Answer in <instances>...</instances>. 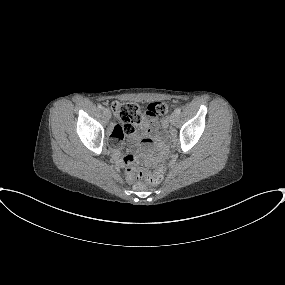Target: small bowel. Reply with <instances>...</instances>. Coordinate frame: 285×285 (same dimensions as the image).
Masks as SVG:
<instances>
[{"label": "small bowel", "instance_id": "1", "mask_svg": "<svg viewBox=\"0 0 285 285\" xmlns=\"http://www.w3.org/2000/svg\"><path fill=\"white\" fill-rule=\"evenodd\" d=\"M154 126L155 119L148 118L144 123L139 125L130 135L134 141V153L132 154L133 157L138 155V151L140 149V141L146 138L153 131ZM123 137V131L120 130L118 126H115L111 133L110 146L112 148L113 159L120 165L122 164L121 149ZM126 179L131 182L133 180L132 174L127 173Z\"/></svg>", "mask_w": 285, "mask_h": 285}]
</instances>
